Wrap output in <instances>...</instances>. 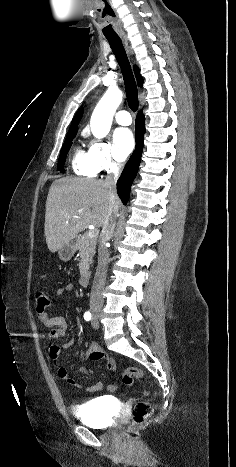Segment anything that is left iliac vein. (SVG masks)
Here are the masks:
<instances>
[{
    "label": "left iliac vein",
    "instance_id": "left-iliac-vein-1",
    "mask_svg": "<svg viewBox=\"0 0 236 467\" xmlns=\"http://www.w3.org/2000/svg\"><path fill=\"white\" fill-rule=\"evenodd\" d=\"M92 327L97 329L99 327V324H98V320L94 317V319L92 320Z\"/></svg>",
    "mask_w": 236,
    "mask_h": 467
}]
</instances>
